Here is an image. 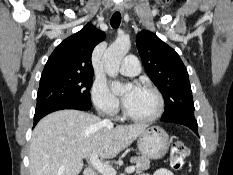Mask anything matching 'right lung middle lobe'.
Wrapping results in <instances>:
<instances>
[{"mask_svg":"<svg viewBox=\"0 0 233 175\" xmlns=\"http://www.w3.org/2000/svg\"><path fill=\"white\" fill-rule=\"evenodd\" d=\"M92 74H74L40 79L36 110L53 105L91 106Z\"/></svg>","mask_w":233,"mask_h":175,"instance_id":"1","label":"right lung middle lobe"}]
</instances>
